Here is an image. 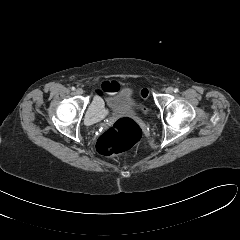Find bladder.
<instances>
[{
  "mask_svg": "<svg viewBox=\"0 0 240 240\" xmlns=\"http://www.w3.org/2000/svg\"><path fill=\"white\" fill-rule=\"evenodd\" d=\"M106 103L112 114L134 113L139 106L133 90L129 87L121 88L109 95Z\"/></svg>",
  "mask_w": 240,
  "mask_h": 240,
  "instance_id": "1",
  "label": "bladder"
}]
</instances>
